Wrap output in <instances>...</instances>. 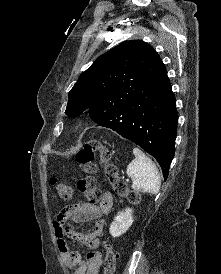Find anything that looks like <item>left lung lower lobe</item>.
Returning <instances> with one entry per match:
<instances>
[{
	"label": "left lung lower lobe",
	"instance_id": "obj_1",
	"mask_svg": "<svg viewBox=\"0 0 221 274\" xmlns=\"http://www.w3.org/2000/svg\"><path fill=\"white\" fill-rule=\"evenodd\" d=\"M93 120L155 157L167 179L174 157L178 114L164 64L149 78L137 97L97 114Z\"/></svg>",
	"mask_w": 221,
	"mask_h": 274
}]
</instances>
